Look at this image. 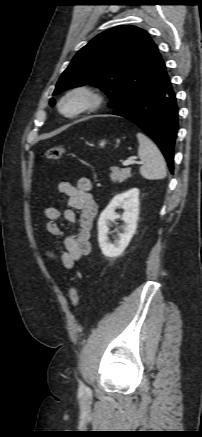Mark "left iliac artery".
I'll return each instance as SVG.
<instances>
[{"label":"left iliac artery","mask_w":202,"mask_h":437,"mask_svg":"<svg viewBox=\"0 0 202 437\" xmlns=\"http://www.w3.org/2000/svg\"><path fill=\"white\" fill-rule=\"evenodd\" d=\"M84 384L82 382H80V388H84Z\"/></svg>","instance_id":"1"}]
</instances>
